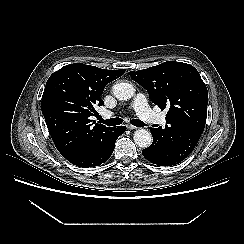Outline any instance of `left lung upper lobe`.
Here are the masks:
<instances>
[{"label": "left lung upper lobe", "instance_id": "left-lung-upper-lobe-1", "mask_svg": "<svg viewBox=\"0 0 244 244\" xmlns=\"http://www.w3.org/2000/svg\"><path fill=\"white\" fill-rule=\"evenodd\" d=\"M129 74L154 104L169 109L165 128H151L152 145L164 159L184 160L198 143L207 117L208 92L198 71L190 64L167 61Z\"/></svg>", "mask_w": 244, "mask_h": 244}]
</instances>
